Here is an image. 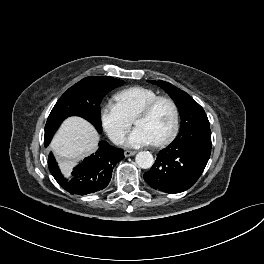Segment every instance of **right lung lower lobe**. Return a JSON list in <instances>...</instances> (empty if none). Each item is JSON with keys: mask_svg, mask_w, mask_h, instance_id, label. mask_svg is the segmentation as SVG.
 Returning <instances> with one entry per match:
<instances>
[{"mask_svg": "<svg viewBox=\"0 0 264 264\" xmlns=\"http://www.w3.org/2000/svg\"><path fill=\"white\" fill-rule=\"evenodd\" d=\"M123 158L122 149L100 141L96 153L75 167L69 178L62 175L52 153L49 155L48 165L55 180L66 191L70 194L86 195L103 190L110 182L113 168Z\"/></svg>", "mask_w": 264, "mask_h": 264, "instance_id": "obj_1", "label": "right lung lower lobe"}]
</instances>
